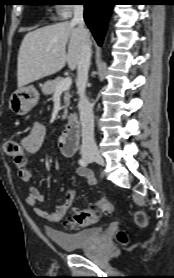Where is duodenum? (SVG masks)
<instances>
[{
    "label": "duodenum",
    "mask_w": 174,
    "mask_h": 278,
    "mask_svg": "<svg viewBox=\"0 0 174 278\" xmlns=\"http://www.w3.org/2000/svg\"><path fill=\"white\" fill-rule=\"evenodd\" d=\"M79 138V121L76 116H70L64 131L58 139V146L65 156L74 154Z\"/></svg>",
    "instance_id": "410a0bca"
}]
</instances>
